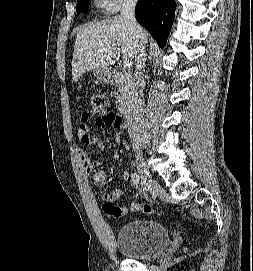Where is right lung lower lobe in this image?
I'll list each match as a JSON object with an SVG mask.
<instances>
[{
    "label": "right lung lower lobe",
    "mask_w": 253,
    "mask_h": 271,
    "mask_svg": "<svg viewBox=\"0 0 253 271\" xmlns=\"http://www.w3.org/2000/svg\"><path fill=\"white\" fill-rule=\"evenodd\" d=\"M175 9V0H139L137 3V21L150 32L161 48L166 45Z\"/></svg>",
    "instance_id": "right-lung-lower-lobe-1"
}]
</instances>
